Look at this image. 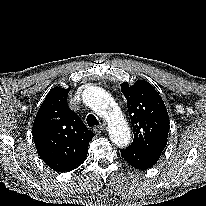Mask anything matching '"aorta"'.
Instances as JSON below:
<instances>
[{
    "mask_svg": "<svg viewBox=\"0 0 206 206\" xmlns=\"http://www.w3.org/2000/svg\"><path fill=\"white\" fill-rule=\"evenodd\" d=\"M84 100L106 119L112 142L119 147L127 146L131 139L130 129L113 97L102 88L92 87L84 92Z\"/></svg>",
    "mask_w": 206,
    "mask_h": 206,
    "instance_id": "aorta-1",
    "label": "aorta"
}]
</instances>
